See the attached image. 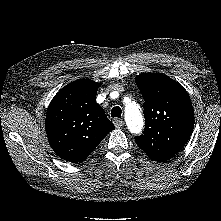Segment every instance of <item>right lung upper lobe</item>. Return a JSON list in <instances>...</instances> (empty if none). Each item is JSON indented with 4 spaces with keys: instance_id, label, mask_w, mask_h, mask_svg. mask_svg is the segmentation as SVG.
<instances>
[{
    "instance_id": "cb5924a9",
    "label": "right lung upper lobe",
    "mask_w": 221,
    "mask_h": 221,
    "mask_svg": "<svg viewBox=\"0 0 221 221\" xmlns=\"http://www.w3.org/2000/svg\"><path fill=\"white\" fill-rule=\"evenodd\" d=\"M102 83L90 79L71 82L52 99L45 129L54 152L69 162H82L115 129L96 103Z\"/></svg>"
}]
</instances>
